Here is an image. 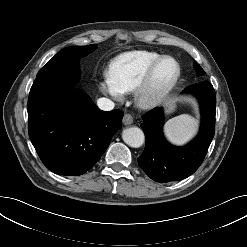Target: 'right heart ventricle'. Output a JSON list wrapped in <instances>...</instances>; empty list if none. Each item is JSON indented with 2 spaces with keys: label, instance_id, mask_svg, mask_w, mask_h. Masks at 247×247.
<instances>
[{
  "label": "right heart ventricle",
  "instance_id": "right-heart-ventricle-1",
  "mask_svg": "<svg viewBox=\"0 0 247 247\" xmlns=\"http://www.w3.org/2000/svg\"><path fill=\"white\" fill-rule=\"evenodd\" d=\"M160 57V54L146 50L124 53L113 61L110 79L122 93L131 92Z\"/></svg>",
  "mask_w": 247,
  "mask_h": 247
}]
</instances>
